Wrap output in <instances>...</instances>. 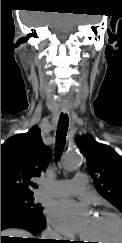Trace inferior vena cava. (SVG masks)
<instances>
[{
    "label": "inferior vena cava",
    "instance_id": "obj_1",
    "mask_svg": "<svg viewBox=\"0 0 122 243\" xmlns=\"http://www.w3.org/2000/svg\"><path fill=\"white\" fill-rule=\"evenodd\" d=\"M42 238L58 240L60 238V236L57 233H55L54 231H52L51 229H46L42 233Z\"/></svg>",
    "mask_w": 122,
    "mask_h": 243
}]
</instances>
